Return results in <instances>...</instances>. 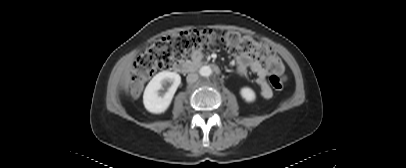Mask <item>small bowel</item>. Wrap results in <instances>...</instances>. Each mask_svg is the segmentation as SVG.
Segmentation results:
<instances>
[{"label":"small bowel","mask_w":406,"mask_h":168,"mask_svg":"<svg viewBox=\"0 0 406 168\" xmlns=\"http://www.w3.org/2000/svg\"><path fill=\"white\" fill-rule=\"evenodd\" d=\"M202 57H203L202 51H196L193 53V58L195 60H199ZM233 57L237 71L240 74H245L248 70H251L256 74L257 76L256 82L260 88V96L264 99L271 98L273 93L272 89L270 88L269 84L266 81L268 70L265 67V65L261 61L241 53H234Z\"/></svg>","instance_id":"1"}]
</instances>
